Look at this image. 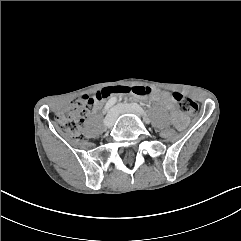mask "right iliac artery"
<instances>
[{
	"label": "right iliac artery",
	"mask_w": 241,
	"mask_h": 241,
	"mask_svg": "<svg viewBox=\"0 0 241 241\" xmlns=\"http://www.w3.org/2000/svg\"><path fill=\"white\" fill-rule=\"evenodd\" d=\"M117 99L116 98H111L105 105L104 107V113H106L110 107H112L116 103Z\"/></svg>",
	"instance_id": "obj_1"
}]
</instances>
